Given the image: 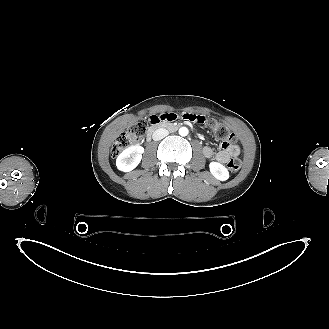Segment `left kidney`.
Here are the masks:
<instances>
[{
  "mask_svg": "<svg viewBox=\"0 0 329 329\" xmlns=\"http://www.w3.org/2000/svg\"><path fill=\"white\" fill-rule=\"evenodd\" d=\"M211 174L220 181H225L229 178V172L225 166L218 162L209 164Z\"/></svg>",
  "mask_w": 329,
  "mask_h": 329,
  "instance_id": "5707ae66",
  "label": "left kidney"
}]
</instances>
